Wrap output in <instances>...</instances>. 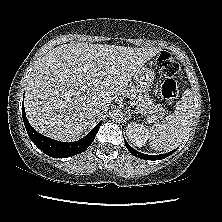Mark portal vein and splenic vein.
Wrapping results in <instances>:
<instances>
[{"mask_svg": "<svg viewBox=\"0 0 222 222\" xmlns=\"http://www.w3.org/2000/svg\"><path fill=\"white\" fill-rule=\"evenodd\" d=\"M101 79H94L93 80V82L94 83H97V82H99ZM130 104L132 105V103L130 102ZM133 106V105H132ZM149 120H150V118H149ZM153 121H156V118H153Z\"/></svg>", "mask_w": 222, "mask_h": 222, "instance_id": "1", "label": "portal vein and splenic vein"}]
</instances>
